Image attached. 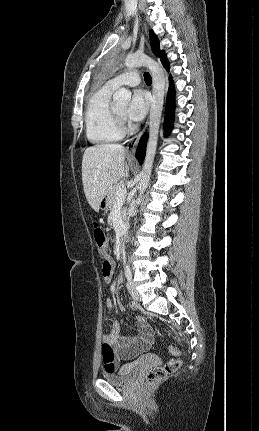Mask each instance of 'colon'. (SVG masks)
Masks as SVG:
<instances>
[{
    "label": "colon",
    "instance_id": "5ec220e1",
    "mask_svg": "<svg viewBox=\"0 0 259 431\" xmlns=\"http://www.w3.org/2000/svg\"><path fill=\"white\" fill-rule=\"evenodd\" d=\"M93 236L95 243L97 245V248L100 253V257L102 259V268L103 267H109L112 270V261L111 257L109 255L107 245H106V234L105 231L98 226L97 224L94 225L93 230ZM170 352L173 355H179L180 351L176 347H170ZM103 353L107 358L112 357L113 351L109 344L104 343L103 344ZM181 366V361L179 359H171L168 362H166L163 366L153 368L149 370L145 375V381L147 384H155L165 378L167 375L172 374L176 372ZM108 371H112L113 368L109 367L106 369Z\"/></svg>",
    "mask_w": 259,
    "mask_h": 431
}]
</instances>
